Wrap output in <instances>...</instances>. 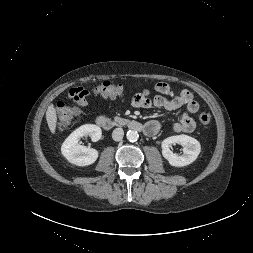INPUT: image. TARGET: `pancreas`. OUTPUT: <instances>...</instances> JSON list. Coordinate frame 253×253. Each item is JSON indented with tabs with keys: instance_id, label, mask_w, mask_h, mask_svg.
Wrapping results in <instances>:
<instances>
[{
	"instance_id": "obj_1",
	"label": "pancreas",
	"mask_w": 253,
	"mask_h": 253,
	"mask_svg": "<svg viewBox=\"0 0 253 253\" xmlns=\"http://www.w3.org/2000/svg\"><path fill=\"white\" fill-rule=\"evenodd\" d=\"M114 122L117 123L118 125H123L126 122V119L121 118L119 116L114 117Z\"/></svg>"
}]
</instances>
